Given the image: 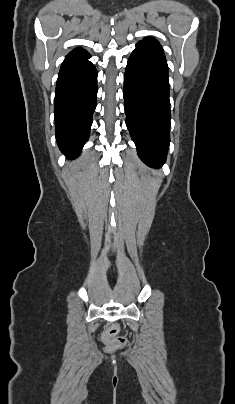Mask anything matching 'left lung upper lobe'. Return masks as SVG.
<instances>
[{
  "mask_svg": "<svg viewBox=\"0 0 235 404\" xmlns=\"http://www.w3.org/2000/svg\"><path fill=\"white\" fill-rule=\"evenodd\" d=\"M138 44H146V45H150L153 47H157L162 50V47L159 44V42L152 37H146L143 41H139Z\"/></svg>",
  "mask_w": 235,
  "mask_h": 404,
  "instance_id": "1",
  "label": "left lung upper lobe"
}]
</instances>
